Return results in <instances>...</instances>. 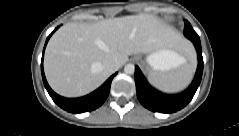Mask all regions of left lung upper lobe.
<instances>
[{
  "mask_svg": "<svg viewBox=\"0 0 239 136\" xmlns=\"http://www.w3.org/2000/svg\"><path fill=\"white\" fill-rule=\"evenodd\" d=\"M195 33L196 32L192 28L191 24L188 21H185L184 35L188 37L189 34H195Z\"/></svg>",
  "mask_w": 239,
  "mask_h": 136,
  "instance_id": "left-lung-upper-lobe-1",
  "label": "left lung upper lobe"
}]
</instances>
